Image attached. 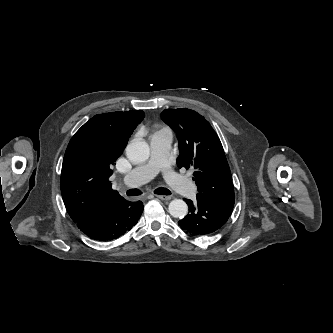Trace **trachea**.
I'll return each mask as SVG.
<instances>
[{
  "label": "trachea",
  "mask_w": 333,
  "mask_h": 333,
  "mask_svg": "<svg viewBox=\"0 0 333 333\" xmlns=\"http://www.w3.org/2000/svg\"><path fill=\"white\" fill-rule=\"evenodd\" d=\"M154 193L159 194V195H170L171 194L170 190H168L167 188H163V187L157 188L156 190H154ZM126 194L128 196H138V195H141L142 192L138 189H130L126 192Z\"/></svg>",
  "instance_id": "trachea-1"
}]
</instances>
